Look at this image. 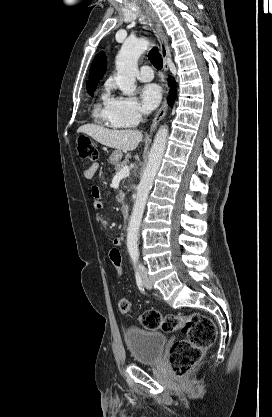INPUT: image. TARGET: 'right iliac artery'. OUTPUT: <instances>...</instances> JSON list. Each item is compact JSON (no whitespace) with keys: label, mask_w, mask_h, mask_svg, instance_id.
I'll return each instance as SVG.
<instances>
[{"label":"right iliac artery","mask_w":272,"mask_h":417,"mask_svg":"<svg viewBox=\"0 0 272 417\" xmlns=\"http://www.w3.org/2000/svg\"><path fill=\"white\" fill-rule=\"evenodd\" d=\"M135 278H136V284H137L139 290L142 293H144L143 281H142V278H141L139 272L136 270V266H135Z\"/></svg>","instance_id":"82829eb1"}]
</instances>
